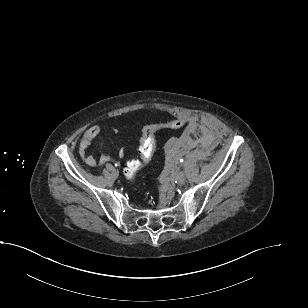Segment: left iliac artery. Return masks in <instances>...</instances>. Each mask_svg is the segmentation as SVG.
Here are the masks:
<instances>
[{"mask_svg":"<svg viewBox=\"0 0 308 308\" xmlns=\"http://www.w3.org/2000/svg\"><path fill=\"white\" fill-rule=\"evenodd\" d=\"M184 160L183 159H180V162H183Z\"/></svg>","mask_w":308,"mask_h":308,"instance_id":"1","label":"left iliac artery"}]
</instances>
